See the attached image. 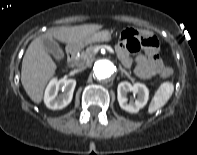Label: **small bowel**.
Returning <instances> with one entry per match:
<instances>
[{
    "label": "small bowel",
    "mask_w": 197,
    "mask_h": 155,
    "mask_svg": "<svg viewBox=\"0 0 197 155\" xmlns=\"http://www.w3.org/2000/svg\"><path fill=\"white\" fill-rule=\"evenodd\" d=\"M147 48L148 51L146 54H141L133 58L131 57L127 40L122 38L117 45V53L122 63L126 67H133L135 73L140 78L149 79L157 74L162 76L165 66L159 56L158 46L151 45Z\"/></svg>",
    "instance_id": "small-bowel-1"
}]
</instances>
